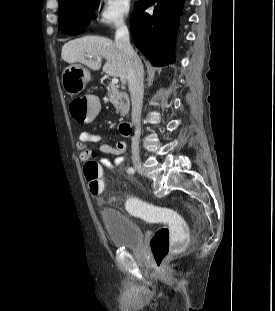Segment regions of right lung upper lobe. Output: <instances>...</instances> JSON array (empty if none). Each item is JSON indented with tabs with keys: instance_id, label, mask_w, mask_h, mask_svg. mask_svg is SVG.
I'll return each instance as SVG.
<instances>
[{
	"instance_id": "obj_1",
	"label": "right lung upper lobe",
	"mask_w": 275,
	"mask_h": 311,
	"mask_svg": "<svg viewBox=\"0 0 275 311\" xmlns=\"http://www.w3.org/2000/svg\"><path fill=\"white\" fill-rule=\"evenodd\" d=\"M65 1H68V0H59V4L65 2Z\"/></svg>"
}]
</instances>
